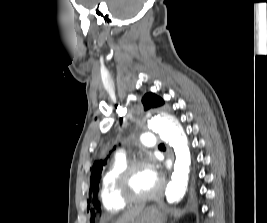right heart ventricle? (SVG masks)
Wrapping results in <instances>:
<instances>
[{"label": "right heart ventricle", "mask_w": 267, "mask_h": 223, "mask_svg": "<svg viewBox=\"0 0 267 223\" xmlns=\"http://www.w3.org/2000/svg\"><path fill=\"white\" fill-rule=\"evenodd\" d=\"M127 163L128 160L125 157L117 156L103 174L100 198L103 207L109 212L119 211L126 205L115 191V180Z\"/></svg>", "instance_id": "obj_1"}]
</instances>
